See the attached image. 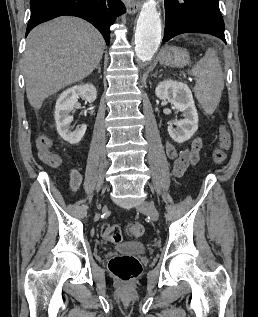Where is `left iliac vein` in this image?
<instances>
[{"label":"left iliac vein","mask_w":258,"mask_h":317,"mask_svg":"<svg viewBox=\"0 0 258 317\" xmlns=\"http://www.w3.org/2000/svg\"><path fill=\"white\" fill-rule=\"evenodd\" d=\"M137 210L140 213H145L152 219H155V222L157 221L156 219L159 216L158 211L152 202H148L147 200H141L140 204L137 205Z\"/></svg>","instance_id":"4c4485c4"}]
</instances>
